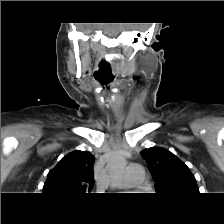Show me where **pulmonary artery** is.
<instances>
[{
	"instance_id": "1",
	"label": "pulmonary artery",
	"mask_w": 224,
	"mask_h": 224,
	"mask_svg": "<svg viewBox=\"0 0 224 224\" xmlns=\"http://www.w3.org/2000/svg\"><path fill=\"white\" fill-rule=\"evenodd\" d=\"M144 182L143 169L137 164L127 167L125 177L121 183L122 187H139Z\"/></svg>"
}]
</instances>
